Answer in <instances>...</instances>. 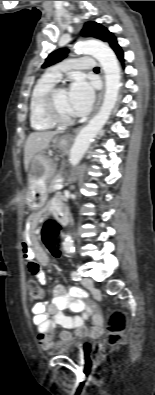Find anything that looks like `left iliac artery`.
I'll return each mask as SVG.
<instances>
[{"label": "left iliac artery", "mask_w": 155, "mask_h": 395, "mask_svg": "<svg viewBox=\"0 0 155 395\" xmlns=\"http://www.w3.org/2000/svg\"><path fill=\"white\" fill-rule=\"evenodd\" d=\"M71 277L75 281H79L81 279L80 273L77 271H72L71 272Z\"/></svg>", "instance_id": "left-iliac-artery-1"}]
</instances>
